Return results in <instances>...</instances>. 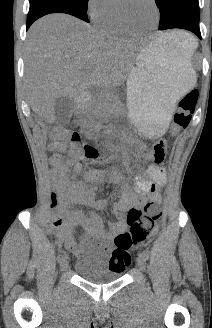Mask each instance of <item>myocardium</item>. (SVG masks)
Listing matches in <instances>:
<instances>
[{
	"label": "myocardium",
	"mask_w": 212,
	"mask_h": 328,
	"mask_svg": "<svg viewBox=\"0 0 212 328\" xmlns=\"http://www.w3.org/2000/svg\"><path fill=\"white\" fill-rule=\"evenodd\" d=\"M151 4L153 5L154 9H155V12H156V21L155 23L150 26V27H147V28H136V27H133L126 19L122 9H121V6H120V0L118 1V5H117V16H118V19L120 21V23L122 24V26L130 33H138V34H143V33H147L151 30H154L159 22H160V18H161V12H160V8H159V5L157 3L156 0H150Z\"/></svg>",
	"instance_id": "1"
}]
</instances>
